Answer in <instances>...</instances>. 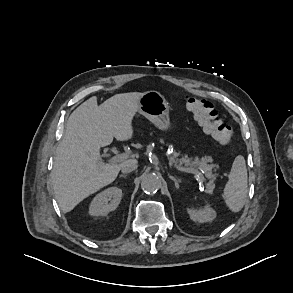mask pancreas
<instances>
[{"instance_id": "obj_1", "label": "pancreas", "mask_w": 293, "mask_h": 293, "mask_svg": "<svg viewBox=\"0 0 293 293\" xmlns=\"http://www.w3.org/2000/svg\"><path fill=\"white\" fill-rule=\"evenodd\" d=\"M178 156L179 153L173 152L169 158L170 163L194 170H203L205 172V176L209 180L207 183V192L211 194L215 187L214 180L216 179V174L213 173V168L217 166L215 164H209V162H212V159L208 157L189 158L187 155L183 156L182 158H178Z\"/></svg>"}]
</instances>
